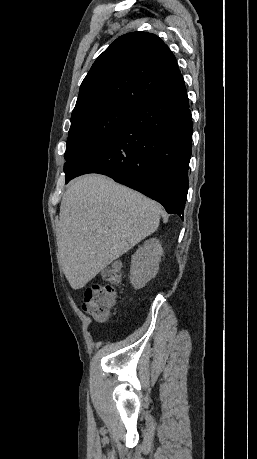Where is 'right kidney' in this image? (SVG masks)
Wrapping results in <instances>:
<instances>
[{
	"label": "right kidney",
	"mask_w": 257,
	"mask_h": 459,
	"mask_svg": "<svg viewBox=\"0 0 257 459\" xmlns=\"http://www.w3.org/2000/svg\"><path fill=\"white\" fill-rule=\"evenodd\" d=\"M163 248L156 238L144 242L132 256L130 267V282L135 289L143 288L147 282L156 276Z\"/></svg>",
	"instance_id": "right-kidney-1"
}]
</instances>
